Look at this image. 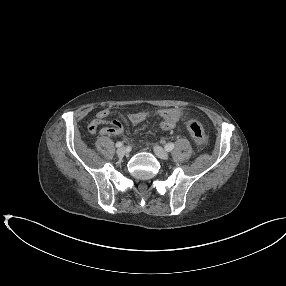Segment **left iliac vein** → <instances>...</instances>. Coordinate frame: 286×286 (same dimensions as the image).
I'll return each instance as SVG.
<instances>
[{"label":"left iliac vein","instance_id":"1","mask_svg":"<svg viewBox=\"0 0 286 286\" xmlns=\"http://www.w3.org/2000/svg\"><path fill=\"white\" fill-rule=\"evenodd\" d=\"M153 149L156 156L159 157L160 159L167 160L169 158L168 152L165 151L162 147L155 145Z\"/></svg>","mask_w":286,"mask_h":286}]
</instances>
